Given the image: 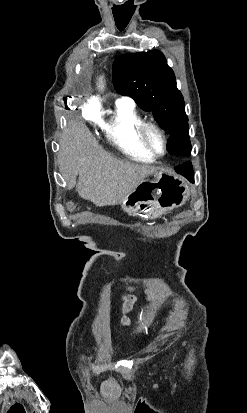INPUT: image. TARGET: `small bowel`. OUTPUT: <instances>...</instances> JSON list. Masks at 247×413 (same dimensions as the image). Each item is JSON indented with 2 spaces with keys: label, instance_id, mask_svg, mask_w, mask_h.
Masks as SVG:
<instances>
[{
  "label": "small bowel",
  "instance_id": "obj_1",
  "mask_svg": "<svg viewBox=\"0 0 247 413\" xmlns=\"http://www.w3.org/2000/svg\"><path fill=\"white\" fill-rule=\"evenodd\" d=\"M134 290V287H129L127 289V293L122 294L120 298L121 324L123 326H128L130 324V318L128 317V314L137 302V296L134 294Z\"/></svg>",
  "mask_w": 247,
  "mask_h": 413
}]
</instances>
